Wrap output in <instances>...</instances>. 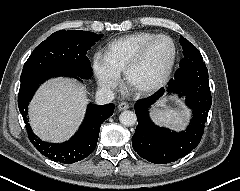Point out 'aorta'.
<instances>
[{
	"mask_svg": "<svg viewBox=\"0 0 240 191\" xmlns=\"http://www.w3.org/2000/svg\"><path fill=\"white\" fill-rule=\"evenodd\" d=\"M119 120L124 126H132L136 123L137 117L133 111L126 110L120 114Z\"/></svg>",
	"mask_w": 240,
	"mask_h": 191,
	"instance_id": "762f6f07",
	"label": "aorta"
}]
</instances>
